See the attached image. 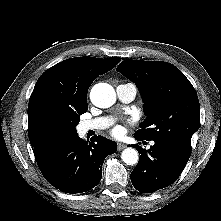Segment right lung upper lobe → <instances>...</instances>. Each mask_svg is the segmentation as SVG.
Returning a JSON list of instances; mask_svg holds the SVG:
<instances>
[{
	"label": "right lung upper lobe",
	"instance_id": "obj_1",
	"mask_svg": "<svg viewBox=\"0 0 221 221\" xmlns=\"http://www.w3.org/2000/svg\"><path fill=\"white\" fill-rule=\"evenodd\" d=\"M121 58L76 57L47 69L38 79L28 105V136L34 154L59 139L49 128L47 116L54 110L88 108L92 82L111 70Z\"/></svg>",
	"mask_w": 221,
	"mask_h": 221
}]
</instances>
